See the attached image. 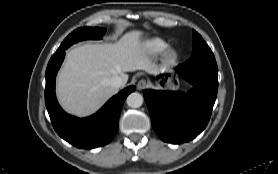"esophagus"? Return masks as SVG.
<instances>
[{"mask_svg": "<svg viewBox=\"0 0 278 174\" xmlns=\"http://www.w3.org/2000/svg\"><path fill=\"white\" fill-rule=\"evenodd\" d=\"M147 85H148V84H147L146 80L141 79V80H139L138 83H137V89L143 90V89H145V88L147 87Z\"/></svg>", "mask_w": 278, "mask_h": 174, "instance_id": "obj_1", "label": "esophagus"}]
</instances>
